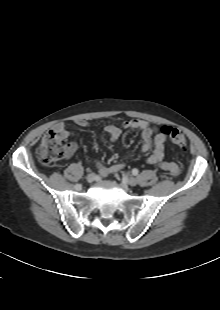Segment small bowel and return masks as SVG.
<instances>
[{
    "mask_svg": "<svg viewBox=\"0 0 220 310\" xmlns=\"http://www.w3.org/2000/svg\"><path fill=\"white\" fill-rule=\"evenodd\" d=\"M75 123L80 127H87L89 123L84 119H77ZM137 130L140 132L141 147L140 152L146 154L151 152L147 157L146 163L158 167L160 170L165 171L173 176L179 174L180 168L178 164L174 162L163 161L165 154V143L167 136L157 130V128L151 125L148 121L142 119H131L122 121L121 126L114 124L108 125L105 128V132L108 134L112 142L118 140L122 134V130ZM54 130L60 132L64 139H67L73 135V132L66 128V125L62 122L55 125ZM78 145L75 142L67 144V157H71L77 150ZM99 173L105 177L109 174L118 172L123 168V163L115 162L110 165H104L100 162L97 163Z\"/></svg>",
    "mask_w": 220,
    "mask_h": 310,
    "instance_id": "obj_1",
    "label": "small bowel"
}]
</instances>
